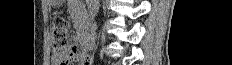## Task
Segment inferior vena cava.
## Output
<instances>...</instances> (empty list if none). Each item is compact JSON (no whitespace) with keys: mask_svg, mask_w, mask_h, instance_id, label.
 <instances>
[{"mask_svg":"<svg viewBox=\"0 0 232 65\" xmlns=\"http://www.w3.org/2000/svg\"><path fill=\"white\" fill-rule=\"evenodd\" d=\"M86 4L88 7L89 15L91 19H93L99 9V0H86Z\"/></svg>","mask_w":232,"mask_h":65,"instance_id":"602c4592","label":"inferior vena cava"}]
</instances>
